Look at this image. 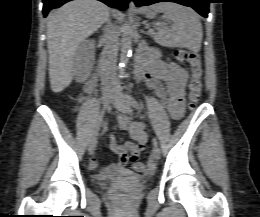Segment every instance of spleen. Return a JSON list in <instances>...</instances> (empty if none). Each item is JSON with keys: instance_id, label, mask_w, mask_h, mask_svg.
<instances>
[{"instance_id": "3e777b00", "label": "spleen", "mask_w": 260, "mask_h": 217, "mask_svg": "<svg viewBox=\"0 0 260 217\" xmlns=\"http://www.w3.org/2000/svg\"><path fill=\"white\" fill-rule=\"evenodd\" d=\"M156 12L164 13V17L173 21L171 28L163 22H156L158 32L155 40L167 47H184L198 51L202 42V25L197 13L190 7L176 3H158L152 6Z\"/></svg>"}]
</instances>
